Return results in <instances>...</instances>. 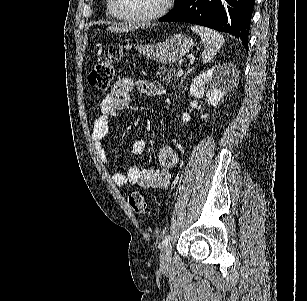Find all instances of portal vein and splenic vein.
Segmentation results:
<instances>
[{"label": "portal vein and splenic vein", "mask_w": 307, "mask_h": 301, "mask_svg": "<svg viewBox=\"0 0 307 301\" xmlns=\"http://www.w3.org/2000/svg\"><path fill=\"white\" fill-rule=\"evenodd\" d=\"M177 74L178 76H182V74H184V70H178Z\"/></svg>", "instance_id": "18ae733b"}]
</instances>
